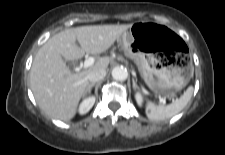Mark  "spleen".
I'll list each match as a JSON object with an SVG mask.
<instances>
[{
    "mask_svg": "<svg viewBox=\"0 0 225 155\" xmlns=\"http://www.w3.org/2000/svg\"><path fill=\"white\" fill-rule=\"evenodd\" d=\"M193 94V87H189L184 94L175 102L169 105H156L151 101H147L146 115L152 121H160L171 118L182 111Z\"/></svg>",
    "mask_w": 225,
    "mask_h": 155,
    "instance_id": "obj_1",
    "label": "spleen"
}]
</instances>
